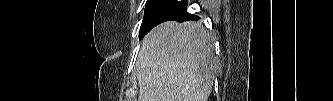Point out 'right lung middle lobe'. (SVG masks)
Wrapping results in <instances>:
<instances>
[{
    "instance_id": "right-lung-middle-lobe-1",
    "label": "right lung middle lobe",
    "mask_w": 333,
    "mask_h": 101,
    "mask_svg": "<svg viewBox=\"0 0 333 101\" xmlns=\"http://www.w3.org/2000/svg\"><path fill=\"white\" fill-rule=\"evenodd\" d=\"M152 2H153V0H147V4L152 3Z\"/></svg>"
}]
</instances>
